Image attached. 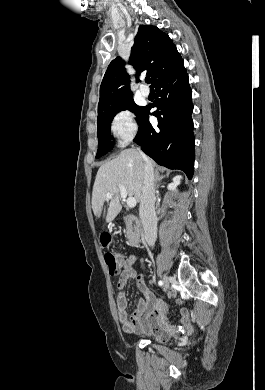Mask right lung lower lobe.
Listing matches in <instances>:
<instances>
[{
	"label": "right lung lower lobe",
	"mask_w": 265,
	"mask_h": 390,
	"mask_svg": "<svg viewBox=\"0 0 265 390\" xmlns=\"http://www.w3.org/2000/svg\"><path fill=\"white\" fill-rule=\"evenodd\" d=\"M157 98L152 106H146L134 139L144 153L159 165L184 171L189 179L194 172V135L192 91L183 60L154 84ZM158 118L152 126L148 114Z\"/></svg>",
	"instance_id": "right-lung-lower-lobe-1"
}]
</instances>
